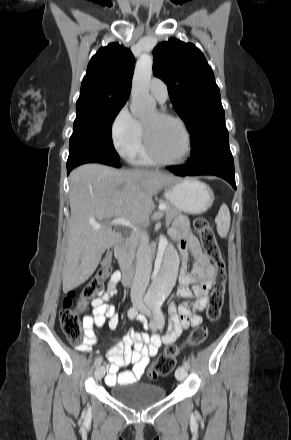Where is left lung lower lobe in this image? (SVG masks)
I'll list each match as a JSON object with an SVG mask.
<instances>
[{
  "label": "left lung lower lobe",
  "mask_w": 291,
  "mask_h": 440,
  "mask_svg": "<svg viewBox=\"0 0 291 440\" xmlns=\"http://www.w3.org/2000/svg\"><path fill=\"white\" fill-rule=\"evenodd\" d=\"M167 169L178 176L216 175L228 181L234 189V161L229 148L228 137L221 138L195 156L187 165L168 166Z\"/></svg>",
  "instance_id": "0a47b994"
}]
</instances>
